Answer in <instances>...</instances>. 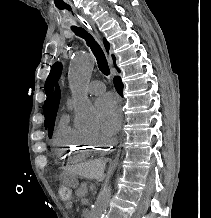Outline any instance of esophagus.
Segmentation results:
<instances>
[{
    "label": "esophagus",
    "instance_id": "1",
    "mask_svg": "<svg viewBox=\"0 0 211 218\" xmlns=\"http://www.w3.org/2000/svg\"><path fill=\"white\" fill-rule=\"evenodd\" d=\"M87 28H88V30L95 36V38L97 39V41H99V43L102 44V41H101V39H100V36H99V34H98V32H97V29H96L95 25H94L93 23H90V24H89V27H87ZM121 103H122V100H121ZM121 117H122V119H123L122 109H121Z\"/></svg>",
    "mask_w": 211,
    "mask_h": 218
}]
</instances>
